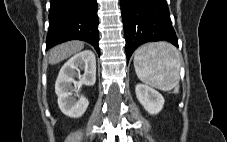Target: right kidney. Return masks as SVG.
I'll return each mask as SVG.
<instances>
[{"instance_id":"right-kidney-1","label":"right kidney","mask_w":227,"mask_h":142,"mask_svg":"<svg viewBox=\"0 0 227 142\" xmlns=\"http://www.w3.org/2000/svg\"><path fill=\"white\" fill-rule=\"evenodd\" d=\"M80 71L84 73L81 75ZM95 82L96 58L94 53L91 50H85L71 57L62 66L55 83L60 110L68 117H81L89 102L83 95H79V89L83 85L93 86Z\"/></svg>"}]
</instances>
